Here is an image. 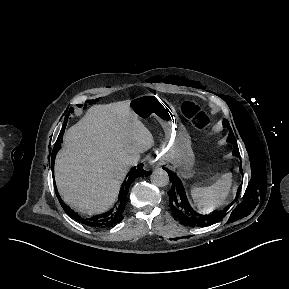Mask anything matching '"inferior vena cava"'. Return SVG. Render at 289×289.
<instances>
[{
	"mask_svg": "<svg viewBox=\"0 0 289 289\" xmlns=\"http://www.w3.org/2000/svg\"><path fill=\"white\" fill-rule=\"evenodd\" d=\"M138 161L139 160L137 158H132V159L129 160L128 165L129 166H134V165H136L138 163Z\"/></svg>",
	"mask_w": 289,
	"mask_h": 289,
	"instance_id": "obj_1",
	"label": "inferior vena cava"
}]
</instances>
